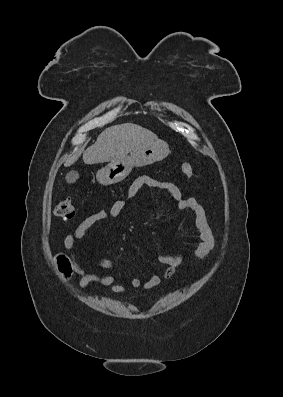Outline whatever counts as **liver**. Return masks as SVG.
I'll list each match as a JSON object with an SVG mask.
<instances>
[{"mask_svg":"<svg viewBox=\"0 0 283 397\" xmlns=\"http://www.w3.org/2000/svg\"><path fill=\"white\" fill-rule=\"evenodd\" d=\"M159 140L153 132L132 123H124L106 128L96 142L86 150L77 153L69 160V165L78 160L83 153L85 164H97L120 160L138 145Z\"/></svg>","mask_w":283,"mask_h":397,"instance_id":"liver-1","label":"liver"}]
</instances>
